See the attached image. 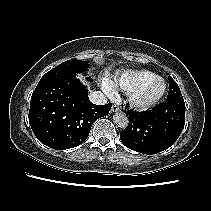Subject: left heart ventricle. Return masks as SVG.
Masks as SVG:
<instances>
[{
  "label": "left heart ventricle",
  "mask_w": 211,
  "mask_h": 211,
  "mask_svg": "<svg viewBox=\"0 0 211 211\" xmlns=\"http://www.w3.org/2000/svg\"><path fill=\"white\" fill-rule=\"evenodd\" d=\"M162 89V85L159 82L152 84L142 95V99H149L157 95Z\"/></svg>",
  "instance_id": "b2bd125f"
}]
</instances>
